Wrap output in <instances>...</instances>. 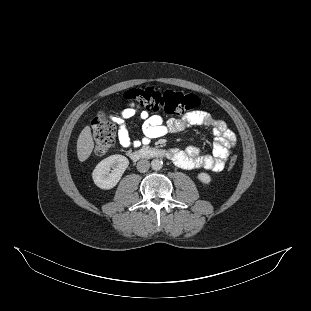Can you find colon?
<instances>
[{
  "instance_id": "colon-1",
  "label": "colon",
  "mask_w": 311,
  "mask_h": 311,
  "mask_svg": "<svg viewBox=\"0 0 311 311\" xmlns=\"http://www.w3.org/2000/svg\"><path fill=\"white\" fill-rule=\"evenodd\" d=\"M124 98L134 101L146 110L165 113L167 115H181L198 107L200 99L196 94L183 91H159L149 87L133 88L124 93ZM95 139L94 152L97 155L106 154L114 145L116 128L105 112H100L92 120ZM237 164V156H232L229 169Z\"/></svg>"
}]
</instances>
